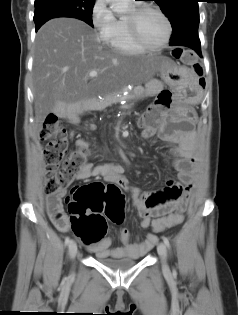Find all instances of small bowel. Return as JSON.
<instances>
[{
  "label": "small bowel",
  "instance_id": "c3829d8e",
  "mask_svg": "<svg viewBox=\"0 0 238 315\" xmlns=\"http://www.w3.org/2000/svg\"><path fill=\"white\" fill-rule=\"evenodd\" d=\"M155 129H145L142 136L146 139L151 138L155 134ZM160 137L167 142H174L176 146L171 149V155L174 157V167L178 173V183L168 181V186L163 191L152 194L143 192L139 188L130 187L124 176V169L120 164L107 163L103 165H94L86 163L76 179L85 181L93 177H101L105 181L114 182L122 189L128 191L133 199V204L141 219L140 225L143 228L150 226L151 219L156 216H176V223H168L165 229L181 223L183 219V210L189 200L193 187V136L190 133H182L171 129H160ZM85 145L83 140H76L77 148ZM65 191L60 190L55 195L47 196L48 215L56 226V228L64 233L72 231L68 218L62 209V199ZM56 199V204L52 200ZM120 238L123 242L122 246L111 248V239L103 237L94 244L89 245V250L97 256L106 257H133L139 258L145 255L157 242L154 233H148L143 241H132L131 234L128 229L120 230Z\"/></svg>",
  "mask_w": 238,
  "mask_h": 315
}]
</instances>
